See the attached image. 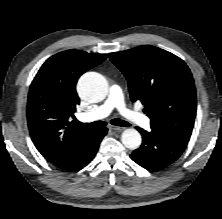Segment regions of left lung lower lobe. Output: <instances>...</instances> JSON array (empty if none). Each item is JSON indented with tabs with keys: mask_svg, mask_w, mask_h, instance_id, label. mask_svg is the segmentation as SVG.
<instances>
[{
	"mask_svg": "<svg viewBox=\"0 0 222 219\" xmlns=\"http://www.w3.org/2000/svg\"><path fill=\"white\" fill-rule=\"evenodd\" d=\"M136 129L142 134L140 148L131 155V159L147 170H157L176 161L185 150L188 141L163 129L151 127L145 131Z\"/></svg>",
	"mask_w": 222,
	"mask_h": 219,
	"instance_id": "obj_1",
	"label": "left lung lower lobe"
}]
</instances>
